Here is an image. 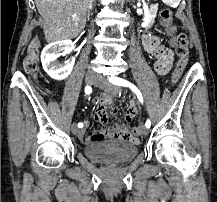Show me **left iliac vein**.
Returning a JSON list of instances; mask_svg holds the SVG:
<instances>
[{
    "mask_svg": "<svg viewBox=\"0 0 217 202\" xmlns=\"http://www.w3.org/2000/svg\"><path fill=\"white\" fill-rule=\"evenodd\" d=\"M95 85H98L102 90L106 91L107 93H110L112 95H116L119 92L118 87L112 86L109 82H107L104 79H99L94 83ZM141 134L146 136L148 135V128L145 125H141L140 127Z\"/></svg>",
    "mask_w": 217,
    "mask_h": 202,
    "instance_id": "obj_1",
    "label": "left iliac vein"
}]
</instances>
